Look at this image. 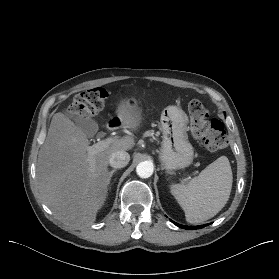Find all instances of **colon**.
<instances>
[{
	"label": "colon",
	"mask_w": 279,
	"mask_h": 279,
	"mask_svg": "<svg viewBox=\"0 0 279 279\" xmlns=\"http://www.w3.org/2000/svg\"><path fill=\"white\" fill-rule=\"evenodd\" d=\"M108 97L102 87H95L78 93L70 109L80 117H90L105 106ZM190 129L193 136L199 139L208 150L223 149L227 146V135L224 125L219 120H210L204 105L198 100L188 104Z\"/></svg>",
	"instance_id": "5ec220e1"
}]
</instances>
